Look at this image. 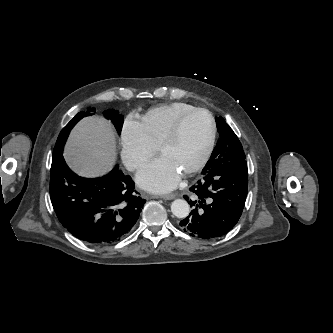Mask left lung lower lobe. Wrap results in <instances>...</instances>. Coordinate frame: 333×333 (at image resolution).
Listing matches in <instances>:
<instances>
[{
	"instance_id": "0a47b994",
	"label": "left lung lower lobe",
	"mask_w": 333,
	"mask_h": 333,
	"mask_svg": "<svg viewBox=\"0 0 333 333\" xmlns=\"http://www.w3.org/2000/svg\"><path fill=\"white\" fill-rule=\"evenodd\" d=\"M193 210L180 222L191 236L203 239L218 238L228 233L242 215L248 190L246 161L223 165L208 173L189 189Z\"/></svg>"
}]
</instances>
